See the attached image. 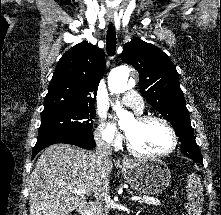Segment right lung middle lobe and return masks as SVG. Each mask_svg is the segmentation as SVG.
<instances>
[{"mask_svg": "<svg viewBox=\"0 0 221 215\" xmlns=\"http://www.w3.org/2000/svg\"><path fill=\"white\" fill-rule=\"evenodd\" d=\"M94 107H82L41 114L38 138L92 130Z\"/></svg>", "mask_w": 221, "mask_h": 215, "instance_id": "right-lung-middle-lobe-1", "label": "right lung middle lobe"}]
</instances>
